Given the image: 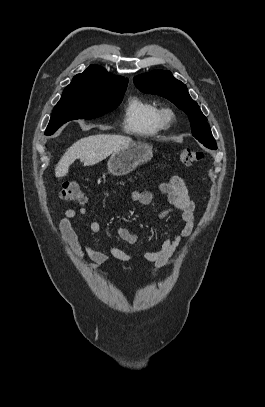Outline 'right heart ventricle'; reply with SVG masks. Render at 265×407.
I'll use <instances>...</instances> for the list:
<instances>
[{
  "mask_svg": "<svg viewBox=\"0 0 265 407\" xmlns=\"http://www.w3.org/2000/svg\"><path fill=\"white\" fill-rule=\"evenodd\" d=\"M159 113L160 110L154 103L140 97H132L125 107L124 128L139 137L157 135L163 129Z\"/></svg>",
  "mask_w": 265,
  "mask_h": 407,
  "instance_id": "e07e8e85",
  "label": "right heart ventricle"
}]
</instances>
